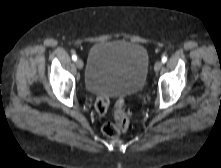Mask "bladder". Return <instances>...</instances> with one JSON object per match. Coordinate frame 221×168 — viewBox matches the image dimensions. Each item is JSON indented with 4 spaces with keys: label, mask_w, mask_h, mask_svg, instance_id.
Masks as SVG:
<instances>
[{
    "label": "bladder",
    "mask_w": 221,
    "mask_h": 168,
    "mask_svg": "<svg viewBox=\"0 0 221 168\" xmlns=\"http://www.w3.org/2000/svg\"><path fill=\"white\" fill-rule=\"evenodd\" d=\"M149 55L145 47L127 41L99 42L89 51L85 86L95 94L126 96L145 85Z\"/></svg>",
    "instance_id": "obj_1"
}]
</instances>
